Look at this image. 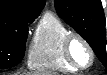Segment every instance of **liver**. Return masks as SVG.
Wrapping results in <instances>:
<instances>
[{
    "instance_id": "1",
    "label": "liver",
    "mask_w": 107,
    "mask_h": 75,
    "mask_svg": "<svg viewBox=\"0 0 107 75\" xmlns=\"http://www.w3.org/2000/svg\"><path fill=\"white\" fill-rule=\"evenodd\" d=\"M15 75H39V74H37V73H30V72L25 73V74H20L19 72H17Z\"/></svg>"
}]
</instances>
